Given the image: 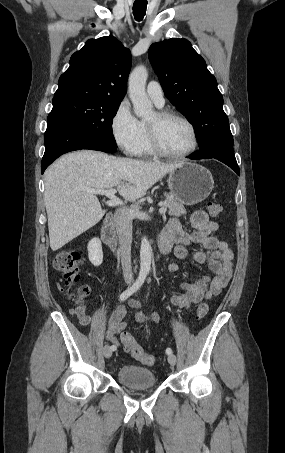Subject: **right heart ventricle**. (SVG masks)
Segmentation results:
<instances>
[{
  "label": "right heart ventricle",
  "instance_id": "e07e8e85",
  "mask_svg": "<svg viewBox=\"0 0 285 453\" xmlns=\"http://www.w3.org/2000/svg\"><path fill=\"white\" fill-rule=\"evenodd\" d=\"M154 154H155V152L152 150L150 143H149L146 123L141 122V136H140L139 144L137 147L136 155L151 156Z\"/></svg>",
  "mask_w": 285,
  "mask_h": 453
}]
</instances>
